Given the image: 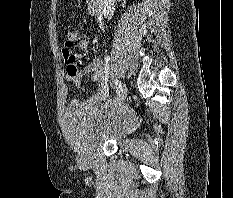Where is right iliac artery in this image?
Returning a JSON list of instances; mask_svg holds the SVG:
<instances>
[{
	"instance_id": "right-iliac-artery-1",
	"label": "right iliac artery",
	"mask_w": 233,
	"mask_h": 198,
	"mask_svg": "<svg viewBox=\"0 0 233 198\" xmlns=\"http://www.w3.org/2000/svg\"><path fill=\"white\" fill-rule=\"evenodd\" d=\"M114 84H115V86H116V93L117 94H119L120 93V90H121V83L117 80V79H115L114 80Z\"/></svg>"
}]
</instances>
